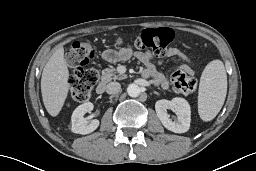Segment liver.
<instances>
[{
  "label": "liver",
  "instance_id": "obj_1",
  "mask_svg": "<svg viewBox=\"0 0 256 171\" xmlns=\"http://www.w3.org/2000/svg\"><path fill=\"white\" fill-rule=\"evenodd\" d=\"M69 71L64 59V48L59 47L44 66L41 77V93L47 112L57 116L69 91Z\"/></svg>",
  "mask_w": 256,
  "mask_h": 171
}]
</instances>
